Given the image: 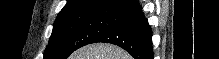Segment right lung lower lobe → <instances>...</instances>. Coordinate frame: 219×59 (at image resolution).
<instances>
[{
  "label": "right lung lower lobe",
  "mask_w": 219,
  "mask_h": 59,
  "mask_svg": "<svg viewBox=\"0 0 219 59\" xmlns=\"http://www.w3.org/2000/svg\"><path fill=\"white\" fill-rule=\"evenodd\" d=\"M114 12L125 15L126 19L100 35L93 43L115 44L135 59H153L152 31L136 0L120 3L114 7Z\"/></svg>",
  "instance_id": "98d812e1"
}]
</instances>
